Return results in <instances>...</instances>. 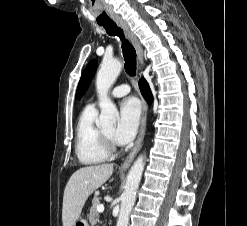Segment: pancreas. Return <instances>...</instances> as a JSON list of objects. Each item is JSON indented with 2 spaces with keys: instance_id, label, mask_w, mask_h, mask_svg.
Instances as JSON below:
<instances>
[{
  "instance_id": "pancreas-1",
  "label": "pancreas",
  "mask_w": 247,
  "mask_h": 226,
  "mask_svg": "<svg viewBox=\"0 0 247 226\" xmlns=\"http://www.w3.org/2000/svg\"><path fill=\"white\" fill-rule=\"evenodd\" d=\"M99 205V198L94 197L92 200V207L90 209V214H89V222L91 223L92 226H94L99 218V214L97 212V206Z\"/></svg>"
}]
</instances>
